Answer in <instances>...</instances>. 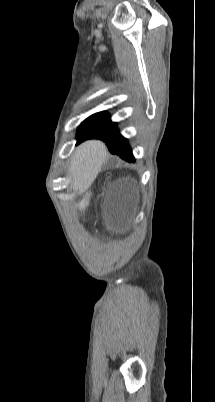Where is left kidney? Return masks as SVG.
<instances>
[{
    "label": "left kidney",
    "instance_id": "1",
    "mask_svg": "<svg viewBox=\"0 0 215 402\" xmlns=\"http://www.w3.org/2000/svg\"><path fill=\"white\" fill-rule=\"evenodd\" d=\"M79 207H85V202H79ZM82 218V217H81ZM84 218V217H83Z\"/></svg>",
    "mask_w": 215,
    "mask_h": 402
}]
</instances>
